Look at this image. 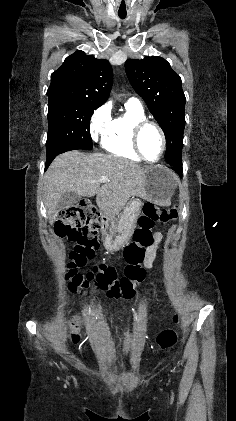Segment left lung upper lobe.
I'll return each mask as SVG.
<instances>
[{
    "label": "left lung upper lobe",
    "instance_id": "left-lung-upper-lobe-1",
    "mask_svg": "<svg viewBox=\"0 0 236 421\" xmlns=\"http://www.w3.org/2000/svg\"><path fill=\"white\" fill-rule=\"evenodd\" d=\"M125 69L132 87L145 100L164 131L166 162L169 165L182 163L185 95L181 78L171 69L169 62L156 56L127 60Z\"/></svg>",
    "mask_w": 236,
    "mask_h": 421
}]
</instances>
